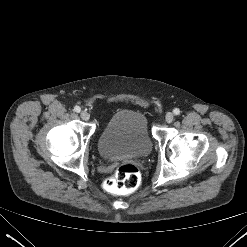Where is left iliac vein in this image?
<instances>
[{
  "instance_id": "4c4485c4",
  "label": "left iliac vein",
  "mask_w": 247,
  "mask_h": 247,
  "mask_svg": "<svg viewBox=\"0 0 247 247\" xmlns=\"http://www.w3.org/2000/svg\"><path fill=\"white\" fill-rule=\"evenodd\" d=\"M173 119H174L173 113L168 112V113L166 114V116H165V121H166L167 123H171V122L173 121Z\"/></svg>"
}]
</instances>
